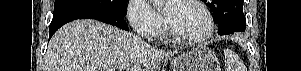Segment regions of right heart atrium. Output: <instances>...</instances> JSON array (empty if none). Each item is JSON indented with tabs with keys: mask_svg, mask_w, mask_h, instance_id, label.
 Returning a JSON list of instances; mask_svg holds the SVG:
<instances>
[{
	"mask_svg": "<svg viewBox=\"0 0 301 71\" xmlns=\"http://www.w3.org/2000/svg\"><path fill=\"white\" fill-rule=\"evenodd\" d=\"M127 16L133 29L144 38L156 36L162 27L160 14L146 0L130 1Z\"/></svg>",
	"mask_w": 301,
	"mask_h": 71,
	"instance_id": "right-heart-atrium-1",
	"label": "right heart atrium"
}]
</instances>
